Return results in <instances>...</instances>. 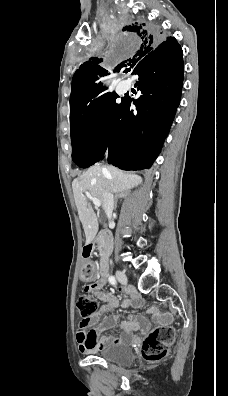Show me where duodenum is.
I'll return each mask as SVG.
<instances>
[{
    "mask_svg": "<svg viewBox=\"0 0 228 396\" xmlns=\"http://www.w3.org/2000/svg\"><path fill=\"white\" fill-rule=\"evenodd\" d=\"M111 245V237L109 232L102 231L99 234V237L95 241L89 242L85 247L84 251H87L89 254L96 248L100 254V265L101 270H104L106 259L110 252Z\"/></svg>",
    "mask_w": 228,
    "mask_h": 396,
    "instance_id": "1",
    "label": "duodenum"
}]
</instances>
